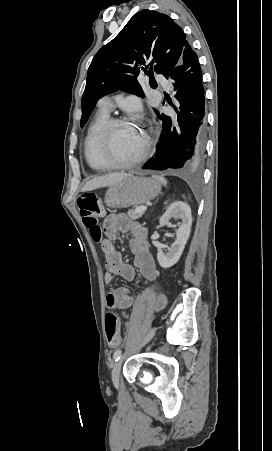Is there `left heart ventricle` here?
I'll return each mask as SVG.
<instances>
[{"instance_id": "obj_1", "label": "left heart ventricle", "mask_w": 272, "mask_h": 451, "mask_svg": "<svg viewBox=\"0 0 272 451\" xmlns=\"http://www.w3.org/2000/svg\"><path fill=\"white\" fill-rule=\"evenodd\" d=\"M143 137L142 131L131 123L118 124L112 129L113 157L122 161L130 157L132 149Z\"/></svg>"}]
</instances>
